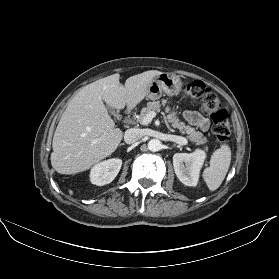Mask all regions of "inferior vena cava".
Masks as SVG:
<instances>
[{
    "label": "inferior vena cava",
    "instance_id": "inferior-vena-cava-1",
    "mask_svg": "<svg viewBox=\"0 0 279 279\" xmlns=\"http://www.w3.org/2000/svg\"><path fill=\"white\" fill-rule=\"evenodd\" d=\"M142 138V133L139 129H135V128H132V129H128L126 132H125V135H124V141L127 143V144H132V143H135L137 142L138 140H140Z\"/></svg>",
    "mask_w": 279,
    "mask_h": 279
}]
</instances>
